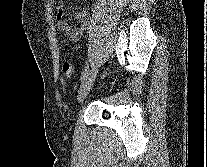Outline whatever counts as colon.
<instances>
[{"label": "colon", "instance_id": "5ec220e1", "mask_svg": "<svg viewBox=\"0 0 207 167\" xmlns=\"http://www.w3.org/2000/svg\"><path fill=\"white\" fill-rule=\"evenodd\" d=\"M62 72L66 78H71L74 75V67L69 61H65L62 64Z\"/></svg>", "mask_w": 207, "mask_h": 167}]
</instances>
